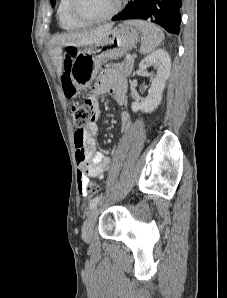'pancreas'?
Segmentation results:
<instances>
[{
	"label": "pancreas",
	"mask_w": 227,
	"mask_h": 298,
	"mask_svg": "<svg viewBox=\"0 0 227 298\" xmlns=\"http://www.w3.org/2000/svg\"><path fill=\"white\" fill-rule=\"evenodd\" d=\"M134 60L125 59L123 62L117 64L118 69L125 75H130L133 69Z\"/></svg>",
	"instance_id": "1"
}]
</instances>
